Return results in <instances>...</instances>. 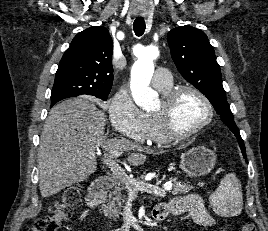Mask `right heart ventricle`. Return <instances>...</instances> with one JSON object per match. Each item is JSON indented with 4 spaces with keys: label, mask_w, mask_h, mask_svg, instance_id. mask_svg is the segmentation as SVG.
<instances>
[{
    "label": "right heart ventricle",
    "mask_w": 268,
    "mask_h": 231,
    "mask_svg": "<svg viewBox=\"0 0 268 231\" xmlns=\"http://www.w3.org/2000/svg\"><path fill=\"white\" fill-rule=\"evenodd\" d=\"M172 86L173 84L171 83L168 86L157 87V88L162 95H165L172 89ZM145 116L148 126V141L154 142L156 144H164L169 142V139L162 132L156 117L152 113L146 114Z\"/></svg>",
    "instance_id": "obj_1"
}]
</instances>
